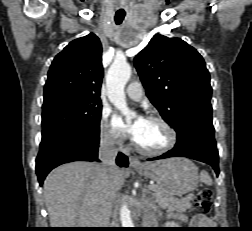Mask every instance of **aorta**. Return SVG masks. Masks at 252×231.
<instances>
[{
    "instance_id": "1",
    "label": "aorta",
    "mask_w": 252,
    "mask_h": 231,
    "mask_svg": "<svg viewBox=\"0 0 252 231\" xmlns=\"http://www.w3.org/2000/svg\"><path fill=\"white\" fill-rule=\"evenodd\" d=\"M130 77V65L126 61L120 60H115L113 62L106 76L108 98L110 102L126 116L127 122L134 116V113L127 107L124 92L125 85ZM120 220L124 228H134V222L126 204L121 206Z\"/></svg>"
}]
</instances>
